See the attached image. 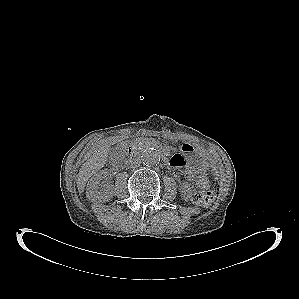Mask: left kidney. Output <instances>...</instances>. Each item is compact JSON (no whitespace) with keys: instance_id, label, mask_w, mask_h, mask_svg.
I'll list each match as a JSON object with an SVG mask.
<instances>
[{"instance_id":"1","label":"left kidney","mask_w":299,"mask_h":299,"mask_svg":"<svg viewBox=\"0 0 299 299\" xmlns=\"http://www.w3.org/2000/svg\"><path fill=\"white\" fill-rule=\"evenodd\" d=\"M182 192L184 193V197L188 198L190 195V187L188 184H184L182 186Z\"/></svg>"}]
</instances>
